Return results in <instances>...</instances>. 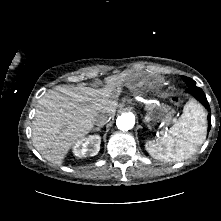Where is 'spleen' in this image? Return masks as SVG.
Returning a JSON list of instances; mask_svg holds the SVG:
<instances>
[{"mask_svg":"<svg viewBox=\"0 0 221 221\" xmlns=\"http://www.w3.org/2000/svg\"><path fill=\"white\" fill-rule=\"evenodd\" d=\"M207 116L194 100L186 103L181 117L168 133L157 141H147L145 148L151 157L164 162H180L190 158L206 138Z\"/></svg>","mask_w":221,"mask_h":221,"instance_id":"obj_1","label":"spleen"}]
</instances>
